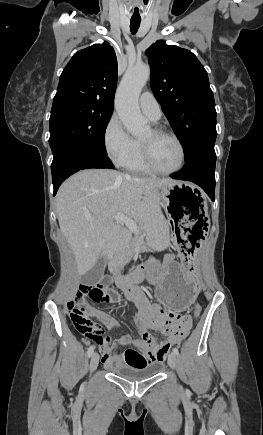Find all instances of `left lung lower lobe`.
<instances>
[{
    "label": "left lung lower lobe",
    "instance_id": "0a47b994",
    "mask_svg": "<svg viewBox=\"0 0 263 435\" xmlns=\"http://www.w3.org/2000/svg\"><path fill=\"white\" fill-rule=\"evenodd\" d=\"M215 164L214 145H207L196 150L185 159L184 169L173 175V179L187 180L199 185L211 198L215 199Z\"/></svg>",
    "mask_w": 263,
    "mask_h": 435
}]
</instances>
